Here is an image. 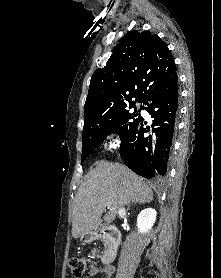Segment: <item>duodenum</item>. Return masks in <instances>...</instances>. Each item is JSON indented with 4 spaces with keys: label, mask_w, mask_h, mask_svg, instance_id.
Wrapping results in <instances>:
<instances>
[{
    "label": "duodenum",
    "mask_w": 221,
    "mask_h": 278,
    "mask_svg": "<svg viewBox=\"0 0 221 278\" xmlns=\"http://www.w3.org/2000/svg\"><path fill=\"white\" fill-rule=\"evenodd\" d=\"M103 238L108 242L107 248L102 255V263L109 265L114 260L120 244V232L115 227H103L96 232L86 235V240Z\"/></svg>",
    "instance_id": "duodenum-1"
}]
</instances>
